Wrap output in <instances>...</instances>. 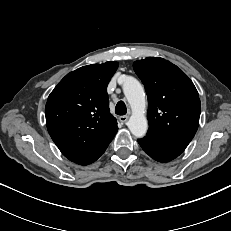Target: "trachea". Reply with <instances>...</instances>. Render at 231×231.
<instances>
[{"label":"trachea","mask_w":231,"mask_h":231,"mask_svg":"<svg viewBox=\"0 0 231 231\" xmlns=\"http://www.w3.org/2000/svg\"><path fill=\"white\" fill-rule=\"evenodd\" d=\"M115 113L117 115H125L127 113L126 105L123 101H119L115 107Z\"/></svg>","instance_id":"obj_1"}]
</instances>
